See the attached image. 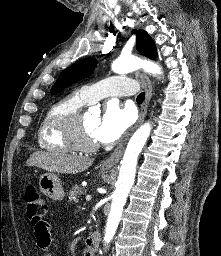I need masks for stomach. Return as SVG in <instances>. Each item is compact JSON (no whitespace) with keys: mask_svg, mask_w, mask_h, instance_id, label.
<instances>
[{"mask_svg":"<svg viewBox=\"0 0 221 256\" xmlns=\"http://www.w3.org/2000/svg\"><path fill=\"white\" fill-rule=\"evenodd\" d=\"M41 192L53 200H62L65 193L60 178L54 173H45L39 179Z\"/></svg>","mask_w":221,"mask_h":256,"instance_id":"1","label":"stomach"}]
</instances>
